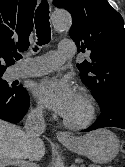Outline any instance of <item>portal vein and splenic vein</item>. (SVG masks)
Listing matches in <instances>:
<instances>
[{
	"label": "portal vein and splenic vein",
	"instance_id": "obj_1",
	"mask_svg": "<svg viewBox=\"0 0 125 167\" xmlns=\"http://www.w3.org/2000/svg\"><path fill=\"white\" fill-rule=\"evenodd\" d=\"M5 164L18 165L19 167H34L33 163L24 160H1L0 167H4ZM71 167H76L72 165Z\"/></svg>",
	"mask_w": 125,
	"mask_h": 167
}]
</instances>
